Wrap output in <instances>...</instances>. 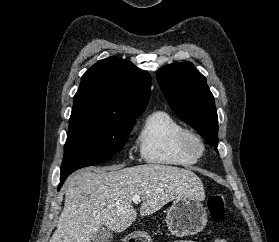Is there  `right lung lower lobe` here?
Masks as SVG:
<instances>
[{
  "label": "right lung lower lobe",
  "mask_w": 279,
  "mask_h": 242,
  "mask_svg": "<svg viewBox=\"0 0 279 242\" xmlns=\"http://www.w3.org/2000/svg\"><path fill=\"white\" fill-rule=\"evenodd\" d=\"M65 179H66V178H63V179L60 180V184H59V186H58V190L61 188V186H62L63 182L65 181Z\"/></svg>",
  "instance_id": "98d812e1"
}]
</instances>
